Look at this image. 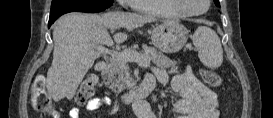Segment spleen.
Listing matches in <instances>:
<instances>
[{
  "label": "spleen",
  "instance_id": "spleen-1",
  "mask_svg": "<svg viewBox=\"0 0 273 118\" xmlns=\"http://www.w3.org/2000/svg\"><path fill=\"white\" fill-rule=\"evenodd\" d=\"M193 44L198 50V56L204 66L216 69L223 62V49L215 31L209 27L200 26L193 35Z\"/></svg>",
  "mask_w": 273,
  "mask_h": 118
}]
</instances>
